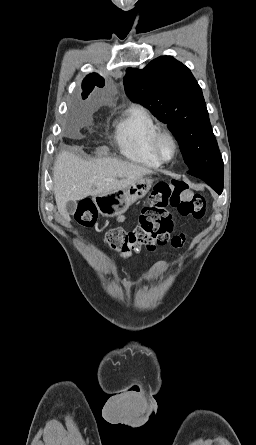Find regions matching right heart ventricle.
Here are the masks:
<instances>
[{"label":"right heart ventricle","instance_id":"e07e8e85","mask_svg":"<svg viewBox=\"0 0 256 445\" xmlns=\"http://www.w3.org/2000/svg\"><path fill=\"white\" fill-rule=\"evenodd\" d=\"M158 130V124L146 109L133 107L115 124L114 139L123 156L157 168L162 163L152 151V139Z\"/></svg>","mask_w":256,"mask_h":445}]
</instances>
